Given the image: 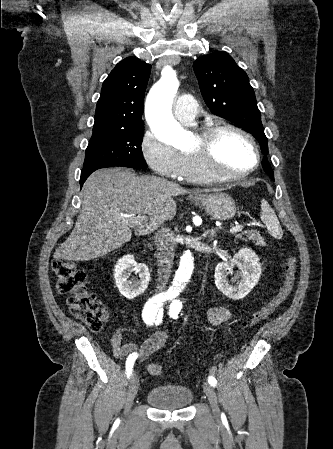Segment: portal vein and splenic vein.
<instances>
[{
  "mask_svg": "<svg viewBox=\"0 0 333 449\" xmlns=\"http://www.w3.org/2000/svg\"><path fill=\"white\" fill-rule=\"evenodd\" d=\"M122 216H123L124 218H130V217L135 216V215L124 214V215H122ZM144 221H147L146 216H136L134 223H135L136 225H138V224H141V223L144 222ZM242 230H243V226H241V225H236V226H234V227H232V228L230 229V232H231V233H236V232H239V231H242Z\"/></svg>",
  "mask_w": 333,
  "mask_h": 449,
  "instance_id": "portal-vein-and-splenic-vein-1",
  "label": "portal vein and splenic vein"
}]
</instances>
